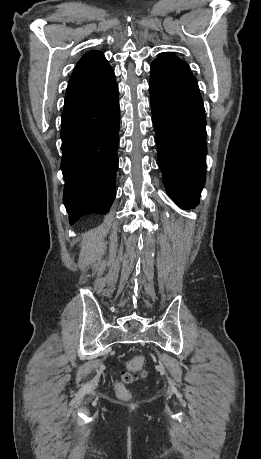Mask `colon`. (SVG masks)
<instances>
[{
	"label": "colon",
	"mask_w": 261,
	"mask_h": 459,
	"mask_svg": "<svg viewBox=\"0 0 261 459\" xmlns=\"http://www.w3.org/2000/svg\"><path fill=\"white\" fill-rule=\"evenodd\" d=\"M143 361L144 357L137 355L127 363L126 369L121 372L119 381L115 385V391L119 398L128 399L130 397L127 385L137 378V371L142 367Z\"/></svg>",
	"instance_id": "colon-1"
}]
</instances>
